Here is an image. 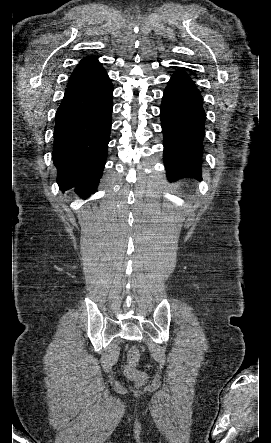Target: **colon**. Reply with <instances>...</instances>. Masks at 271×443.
<instances>
[{"mask_svg":"<svg viewBox=\"0 0 271 443\" xmlns=\"http://www.w3.org/2000/svg\"><path fill=\"white\" fill-rule=\"evenodd\" d=\"M140 350L136 346H132L127 352L126 365L124 368L125 375L138 385H142L147 381V374L138 369L140 360Z\"/></svg>","mask_w":271,"mask_h":443,"instance_id":"1","label":"colon"}]
</instances>
